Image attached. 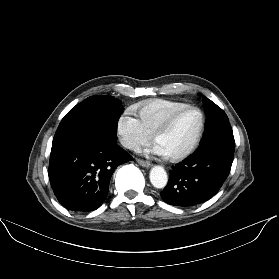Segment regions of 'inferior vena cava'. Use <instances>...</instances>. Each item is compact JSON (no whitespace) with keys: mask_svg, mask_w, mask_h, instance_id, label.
Listing matches in <instances>:
<instances>
[{"mask_svg":"<svg viewBox=\"0 0 279 279\" xmlns=\"http://www.w3.org/2000/svg\"><path fill=\"white\" fill-rule=\"evenodd\" d=\"M127 148L137 151V150H139V145L136 143H129V144H127Z\"/></svg>","mask_w":279,"mask_h":279,"instance_id":"1","label":"inferior vena cava"}]
</instances>
